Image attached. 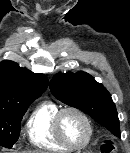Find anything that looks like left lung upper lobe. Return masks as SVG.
<instances>
[{"instance_id": "left-lung-upper-lobe-1", "label": "left lung upper lobe", "mask_w": 130, "mask_h": 153, "mask_svg": "<svg viewBox=\"0 0 130 153\" xmlns=\"http://www.w3.org/2000/svg\"><path fill=\"white\" fill-rule=\"evenodd\" d=\"M52 94L63 103L78 108L120 137L119 119L110 93L86 72L58 73L50 82Z\"/></svg>"}]
</instances>
